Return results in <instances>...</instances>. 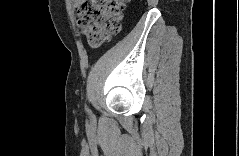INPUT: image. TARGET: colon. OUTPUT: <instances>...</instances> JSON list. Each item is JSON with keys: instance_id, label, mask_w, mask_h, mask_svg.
<instances>
[{"instance_id": "1", "label": "colon", "mask_w": 239, "mask_h": 156, "mask_svg": "<svg viewBox=\"0 0 239 156\" xmlns=\"http://www.w3.org/2000/svg\"><path fill=\"white\" fill-rule=\"evenodd\" d=\"M125 2L122 0H90L78 7V24L88 43L99 47L121 29Z\"/></svg>"}]
</instances>
